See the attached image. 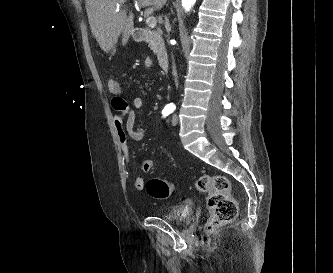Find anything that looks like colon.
<instances>
[{"mask_svg":"<svg viewBox=\"0 0 333 273\" xmlns=\"http://www.w3.org/2000/svg\"><path fill=\"white\" fill-rule=\"evenodd\" d=\"M107 88L114 97H119L121 87L117 80L109 79ZM152 159H144L141 167L144 172H150L154 168ZM199 192L207 194V202L210 210L208 228L213 229L221 224L233 221L237 215L238 206L230 193V182L223 175H203L195 183ZM148 194L157 199H165L172 195L173 184L160 178H151L146 184Z\"/></svg>","mask_w":333,"mask_h":273,"instance_id":"5ec220e1","label":"colon"}]
</instances>
